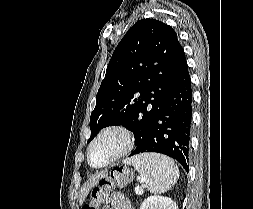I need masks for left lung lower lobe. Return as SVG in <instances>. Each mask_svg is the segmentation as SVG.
<instances>
[{
	"label": "left lung lower lobe",
	"mask_w": 253,
	"mask_h": 209,
	"mask_svg": "<svg viewBox=\"0 0 253 209\" xmlns=\"http://www.w3.org/2000/svg\"><path fill=\"white\" fill-rule=\"evenodd\" d=\"M191 120V79L185 61L146 140L131 155L162 153L177 160L188 172Z\"/></svg>",
	"instance_id": "left-lung-lower-lobe-1"
}]
</instances>
